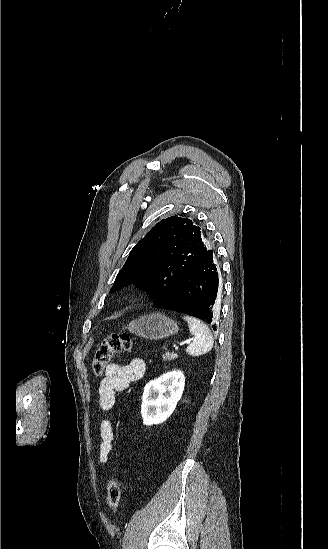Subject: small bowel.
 I'll return each mask as SVG.
<instances>
[{
	"mask_svg": "<svg viewBox=\"0 0 328 549\" xmlns=\"http://www.w3.org/2000/svg\"><path fill=\"white\" fill-rule=\"evenodd\" d=\"M146 370L145 362L134 358L127 364L110 363L106 366L104 378L99 385V407L102 411H110L115 403V393L125 391L133 382L140 380ZM101 443L99 447V462L106 464L114 439L113 426L109 419L100 422Z\"/></svg>",
	"mask_w": 328,
	"mask_h": 549,
	"instance_id": "obj_1",
	"label": "small bowel"
}]
</instances>
